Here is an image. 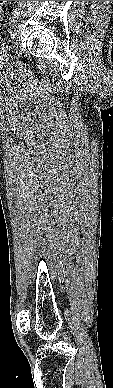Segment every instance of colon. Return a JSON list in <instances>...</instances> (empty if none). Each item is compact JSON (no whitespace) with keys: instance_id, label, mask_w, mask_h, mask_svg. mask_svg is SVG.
I'll use <instances>...</instances> for the list:
<instances>
[{"instance_id":"1","label":"colon","mask_w":113,"mask_h":388,"mask_svg":"<svg viewBox=\"0 0 113 388\" xmlns=\"http://www.w3.org/2000/svg\"><path fill=\"white\" fill-rule=\"evenodd\" d=\"M6 1H0V6H2Z\"/></svg>"}]
</instances>
